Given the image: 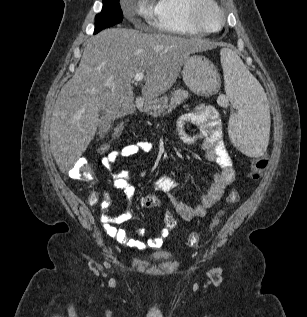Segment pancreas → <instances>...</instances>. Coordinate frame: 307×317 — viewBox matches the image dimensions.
Here are the masks:
<instances>
[{"mask_svg":"<svg viewBox=\"0 0 307 317\" xmlns=\"http://www.w3.org/2000/svg\"><path fill=\"white\" fill-rule=\"evenodd\" d=\"M171 94L172 96L170 98V102L163 104V106L161 107V115L171 112L189 97V92L184 89H174Z\"/></svg>","mask_w":307,"mask_h":317,"instance_id":"pancreas-1","label":"pancreas"}]
</instances>
